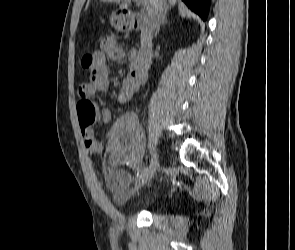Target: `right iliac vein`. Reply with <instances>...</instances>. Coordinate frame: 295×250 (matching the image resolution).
<instances>
[{"instance_id":"1","label":"right iliac vein","mask_w":295,"mask_h":250,"mask_svg":"<svg viewBox=\"0 0 295 250\" xmlns=\"http://www.w3.org/2000/svg\"><path fill=\"white\" fill-rule=\"evenodd\" d=\"M153 161H154V163H153L150 171L147 172L146 174H143L142 176H140L137 179V181L135 182V190L136 191L141 189L154 174H156L158 171L161 170V164H160L157 153H154Z\"/></svg>"}]
</instances>
